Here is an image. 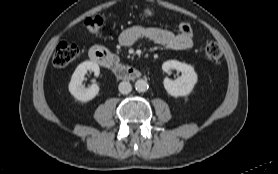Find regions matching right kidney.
Listing matches in <instances>:
<instances>
[{
    "label": "right kidney",
    "mask_w": 278,
    "mask_h": 174,
    "mask_svg": "<svg viewBox=\"0 0 278 174\" xmlns=\"http://www.w3.org/2000/svg\"><path fill=\"white\" fill-rule=\"evenodd\" d=\"M88 70L93 71L95 76H98L100 73L99 65L97 63L84 61L77 66L69 83L70 93L81 102H88L92 100L99 92V86L96 83H93L88 88H85L82 85L84 75Z\"/></svg>",
    "instance_id": "ca27d5eb"
}]
</instances>
